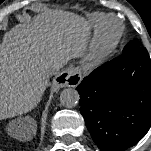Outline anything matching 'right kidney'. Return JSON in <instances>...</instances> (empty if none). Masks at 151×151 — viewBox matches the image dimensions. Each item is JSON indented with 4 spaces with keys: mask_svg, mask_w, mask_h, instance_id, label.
Masks as SVG:
<instances>
[{
    "mask_svg": "<svg viewBox=\"0 0 151 151\" xmlns=\"http://www.w3.org/2000/svg\"><path fill=\"white\" fill-rule=\"evenodd\" d=\"M11 129H12V130H14V129H15V127H14V126H11ZM27 135H28V134H27ZM26 137H27V136H25V138H26ZM25 140H26V139H25Z\"/></svg>",
    "mask_w": 151,
    "mask_h": 151,
    "instance_id": "ca27d5eb",
    "label": "right kidney"
}]
</instances>
